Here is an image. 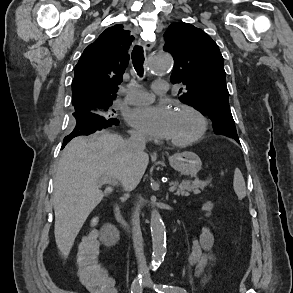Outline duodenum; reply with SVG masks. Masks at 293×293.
I'll return each instance as SVG.
<instances>
[{"instance_id": "obj_1", "label": "duodenum", "mask_w": 293, "mask_h": 293, "mask_svg": "<svg viewBox=\"0 0 293 293\" xmlns=\"http://www.w3.org/2000/svg\"><path fill=\"white\" fill-rule=\"evenodd\" d=\"M111 210H112L115 221L118 223V225L120 226L122 231L126 235H130L131 227H130L128 221L121 214L119 207L116 204H113L111 207Z\"/></svg>"}]
</instances>
